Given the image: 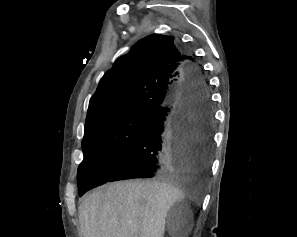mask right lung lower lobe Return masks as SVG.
Listing matches in <instances>:
<instances>
[{"label":"right lung lower lobe","instance_id":"obj_1","mask_svg":"<svg viewBox=\"0 0 297 237\" xmlns=\"http://www.w3.org/2000/svg\"><path fill=\"white\" fill-rule=\"evenodd\" d=\"M186 76L171 100L152 113L137 140L99 185L209 169L213 113L206 82L192 56Z\"/></svg>","mask_w":297,"mask_h":237}]
</instances>
